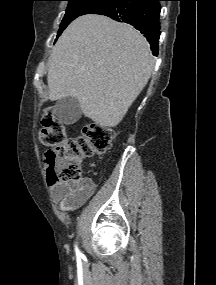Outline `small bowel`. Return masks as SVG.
<instances>
[{
  "label": "small bowel",
  "instance_id": "1",
  "mask_svg": "<svg viewBox=\"0 0 216 285\" xmlns=\"http://www.w3.org/2000/svg\"><path fill=\"white\" fill-rule=\"evenodd\" d=\"M95 184L85 178L76 183H58L51 188L63 210L72 211L82 206L95 192Z\"/></svg>",
  "mask_w": 216,
  "mask_h": 285
}]
</instances>
